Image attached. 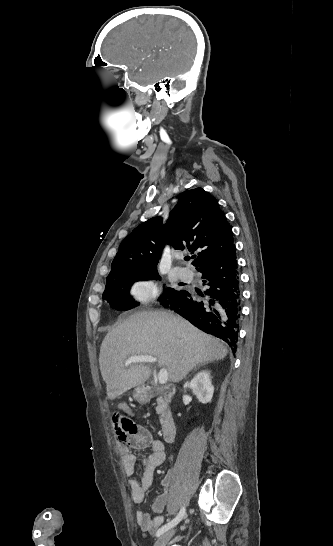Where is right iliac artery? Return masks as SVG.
Returning a JSON list of instances; mask_svg holds the SVG:
<instances>
[{
	"label": "right iliac artery",
	"mask_w": 333,
	"mask_h": 546,
	"mask_svg": "<svg viewBox=\"0 0 333 546\" xmlns=\"http://www.w3.org/2000/svg\"><path fill=\"white\" fill-rule=\"evenodd\" d=\"M185 511H186L185 507H182L180 512L178 513V515L173 520H171L170 522H168L167 524L162 526L160 529H158V531L156 533V536L157 537L160 536L164 532L168 531L170 528L177 525L182 520V518L185 516Z\"/></svg>",
	"instance_id": "82829eb1"
}]
</instances>
